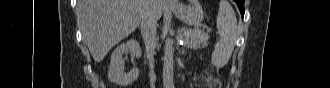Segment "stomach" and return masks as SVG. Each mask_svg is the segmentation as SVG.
I'll list each match as a JSON object with an SVG mask.
<instances>
[{"label":"stomach","mask_w":330,"mask_h":88,"mask_svg":"<svg viewBox=\"0 0 330 88\" xmlns=\"http://www.w3.org/2000/svg\"><path fill=\"white\" fill-rule=\"evenodd\" d=\"M171 11L175 16L188 26H196L203 21L204 12L198 1H191L190 4H179Z\"/></svg>","instance_id":"stomach-1"}]
</instances>
